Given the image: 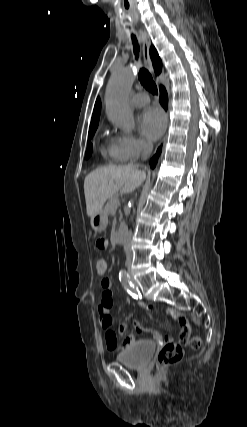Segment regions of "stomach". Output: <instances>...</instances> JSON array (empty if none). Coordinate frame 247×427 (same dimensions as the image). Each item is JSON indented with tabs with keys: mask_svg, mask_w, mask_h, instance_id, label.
<instances>
[{
	"mask_svg": "<svg viewBox=\"0 0 247 427\" xmlns=\"http://www.w3.org/2000/svg\"><path fill=\"white\" fill-rule=\"evenodd\" d=\"M108 223L107 214L101 210L98 214L91 218V226L94 231L102 232L106 229Z\"/></svg>",
	"mask_w": 247,
	"mask_h": 427,
	"instance_id": "1",
	"label": "stomach"
}]
</instances>
